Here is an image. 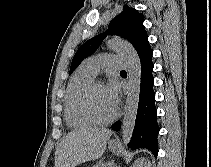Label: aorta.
<instances>
[{"label":"aorta","mask_w":211,"mask_h":167,"mask_svg":"<svg viewBox=\"0 0 211 167\" xmlns=\"http://www.w3.org/2000/svg\"><path fill=\"white\" fill-rule=\"evenodd\" d=\"M106 45L109 49L120 53L127 65L129 86L122 121L123 143L127 145L132 137L138 110L141 76L140 59L134 47L124 40L119 38L109 39Z\"/></svg>","instance_id":"762f6f07"}]
</instances>
